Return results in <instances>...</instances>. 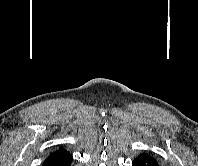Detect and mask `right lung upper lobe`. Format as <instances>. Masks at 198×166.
Here are the masks:
<instances>
[{
  "label": "right lung upper lobe",
  "instance_id": "obj_1",
  "mask_svg": "<svg viewBox=\"0 0 198 166\" xmlns=\"http://www.w3.org/2000/svg\"><path fill=\"white\" fill-rule=\"evenodd\" d=\"M65 154H69V152L66 151L64 148H60L59 150H56V151L52 152V153L48 156V158L57 157V156L65 155Z\"/></svg>",
  "mask_w": 198,
  "mask_h": 166
}]
</instances>
